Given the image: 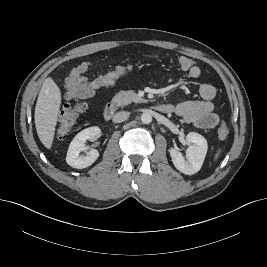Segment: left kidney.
I'll list each match as a JSON object with an SVG mask.
<instances>
[{
    "label": "left kidney",
    "instance_id": "obj_1",
    "mask_svg": "<svg viewBox=\"0 0 267 267\" xmlns=\"http://www.w3.org/2000/svg\"><path fill=\"white\" fill-rule=\"evenodd\" d=\"M186 140L190 146L186 150V156L174 148H170V156L177 170L180 172L193 175L197 173L204 162L208 145L206 139L195 132H190L186 135Z\"/></svg>",
    "mask_w": 267,
    "mask_h": 267
}]
</instances>
